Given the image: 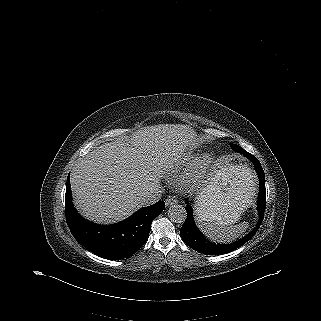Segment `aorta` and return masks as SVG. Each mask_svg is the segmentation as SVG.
I'll return each instance as SVG.
<instances>
[{
  "label": "aorta",
  "instance_id": "1",
  "mask_svg": "<svg viewBox=\"0 0 321 321\" xmlns=\"http://www.w3.org/2000/svg\"><path fill=\"white\" fill-rule=\"evenodd\" d=\"M168 217L175 223H183L186 220L187 212L185 207L180 204H174L168 209Z\"/></svg>",
  "mask_w": 321,
  "mask_h": 321
}]
</instances>
